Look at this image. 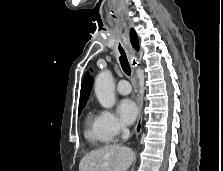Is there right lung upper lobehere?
Masks as SVG:
<instances>
[{"label":"right lung upper lobe","instance_id":"cb5924a9","mask_svg":"<svg viewBox=\"0 0 223 171\" xmlns=\"http://www.w3.org/2000/svg\"><path fill=\"white\" fill-rule=\"evenodd\" d=\"M130 39L133 47L138 50L139 49V42L136 35V32L131 29L130 31ZM93 84V77L87 72L85 74L84 79L82 80L81 91H80V100H79V107L85 106L86 101L88 100L91 88Z\"/></svg>","mask_w":223,"mask_h":171}]
</instances>
